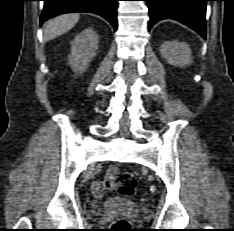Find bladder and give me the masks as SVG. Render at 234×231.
<instances>
[{"label":"bladder","instance_id":"bladder-1","mask_svg":"<svg viewBox=\"0 0 234 231\" xmlns=\"http://www.w3.org/2000/svg\"><path fill=\"white\" fill-rule=\"evenodd\" d=\"M103 208L106 210H111V209L132 210L140 208V203L134 200H127V199L109 200L104 203Z\"/></svg>","mask_w":234,"mask_h":231}]
</instances>
